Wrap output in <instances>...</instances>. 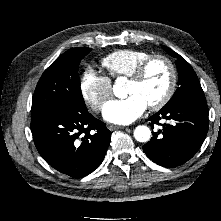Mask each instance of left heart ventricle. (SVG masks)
I'll return each mask as SVG.
<instances>
[{"label": "left heart ventricle", "mask_w": 221, "mask_h": 221, "mask_svg": "<svg viewBox=\"0 0 221 221\" xmlns=\"http://www.w3.org/2000/svg\"><path fill=\"white\" fill-rule=\"evenodd\" d=\"M170 81L168 66L162 60L153 61L144 75L138 81H128L126 86L127 95L140 96L147 105L158 101L166 92Z\"/></svg>", "instance_id": "b2bd125f"}]
</instances>
